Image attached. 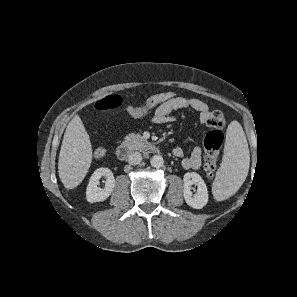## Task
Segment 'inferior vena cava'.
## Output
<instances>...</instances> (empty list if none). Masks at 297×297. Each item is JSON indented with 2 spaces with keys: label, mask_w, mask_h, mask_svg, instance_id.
<instances>
[{
  "label": "inferior vena cava",
  "mask_w": 297,
  "mask_h": 297,
  "mask_svg": "<svg viewBox=\"0 0 297 297\" xmlns=\"http://www.w3.org/2000/svg\"><path fill=\"white\" fill-rule=\"evenodd\" d=\"M142 161V156L139 152H132L128 155V163L130 165H137Z\"/></svg>",
  "instance_id": "obj_1"
}]
</instances>
